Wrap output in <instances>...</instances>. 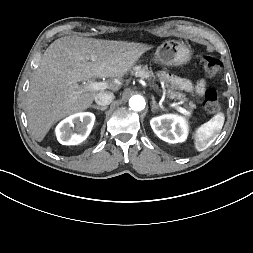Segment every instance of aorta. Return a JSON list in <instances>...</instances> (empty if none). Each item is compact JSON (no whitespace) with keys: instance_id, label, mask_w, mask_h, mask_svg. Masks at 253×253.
Returning a JSON list of instances; mask_svg holds the SVG:
<instances>
[{"instance_id":"aorta-1","label":"aorta","mask_w":253,"mask_h":253,"mask_svg":"<svg viewBox=\"0 0 253 253\" xmlns=\"http://www.w3.org/2000/svg\"><path fill=\"white\" fill-rule=\"evenodd\" d=\"M145 105H146L145 100L140 95L132 96L130 98V100H129V106L134 111H141V110H143L145 108Z\"/></svg>"}]
</instances>
